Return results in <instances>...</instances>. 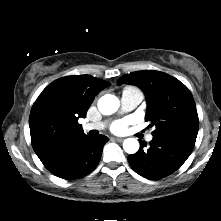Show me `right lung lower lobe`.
<instances>
[{"label":"right lung lower lobe","mask_w":221,"mask_h":221,"mask_svg":"<svg viewBox=\"0 0 221 221\" xmlns=\"http://www.w3.org/2000/svg\"><path fill=\"white\" fill-rule=\"evenodd\" d=\"M108 140L103 135H83L67 144L54 159L44 166L52 174L63 179L81 178L98 165L103 146Z\"/></svg>","instance_id":"right-lung-lower-lobe-1"}]
</instances>
